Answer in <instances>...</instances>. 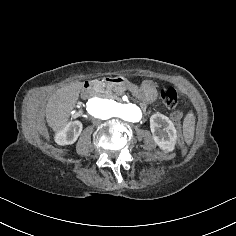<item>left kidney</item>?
<instances>
[{
  "label": "left kidney",
  "mask_w": 236,
  "mask_h": 236,
  "mask_svg": "<svg viewBox=\"0 0 236 236\" xmlns=\"http://www.w3.org/2000/svg\"><path fill=\"white\" fill-rule=\"evenodd\" d=\"M150 130L155 144L160 150L172 153L177 145V132L172 121L161 113L150 117Z\"/></svg>",
  "instance_id": "obj_1"
}]
</instances>
